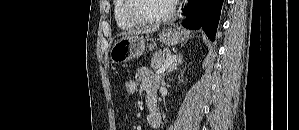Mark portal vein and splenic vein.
Listing matches in <instances>:
<instances>
[{
	"mask_svg": "<svg viewBox=\"0 0 299 130\" xmlns=\"http://www.w3.org/2000/svg\"><path fill=\"white\" fill-rule=\"evenodd\" d=\"M175 59V55H172L169 57V59L167 60L166 64L159 67L158 70L156 71V74H162L165 72V70L171 65V63L174 61Z\"/></svg>",
	"mask_w": 299,
	"mask_h": 130,
	"instance_id": "18ae733b",
	"label": "portal vein and splenic vein"
}]
</instances>
